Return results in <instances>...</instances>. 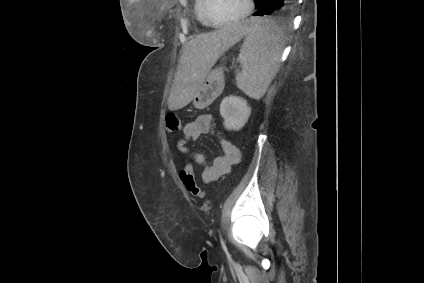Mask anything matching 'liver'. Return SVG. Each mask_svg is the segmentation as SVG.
Segmentation results:
<instances>
[{
	"label": "liver",
	"instance_id": "obj_1",
	"mask_svg": "<svg viewBox=\"0 0 424 283\" xmlns=\"http://www.w3.org/2000/svg\"><path fill=\"white\" fill-rule=\"evenodd\" d=\"M247 31V23H231L218 30L197 35L185 43L168 98V108L178 110L190 103L219 56L240 41Z\"/></svg>",
	"mask_w": 424,
	"mask_h": 283
}]
</instances>
